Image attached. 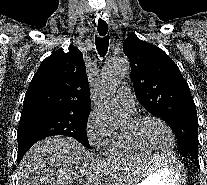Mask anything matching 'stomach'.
Listing matches in <instances>:
<instances>
[{
	"label": "stomach",
	"mask_w": 207,
	"mask_h": 185,
	"mask_svg": "<svg viewBox=\"0 0 207 185\" xmlns=\"http://www.w3.org/2000/svg\"><path fill=\"white\" fill-rule=\"evenodd\" d=\"M187 175L184 165L171 161L149 174L138 185H186Z\"/></svg>",
	"instance_id": "stomach-1"
}]
</instances>
